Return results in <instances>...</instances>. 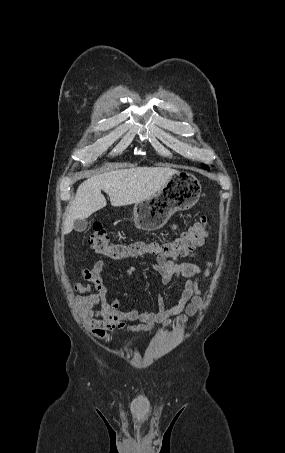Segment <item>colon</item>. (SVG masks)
<instances>
[{"mask_svg": "<svg viewBox=\"0 0 285 453\" xmlns=\"http://www.w3.org/2000/svg\"><path fill=\"white\" fill-rule=\"evenodd\" d=\"M208 227L209 219L203 215L190 228L167 241L136 240L128 243H117L111 242L102 225L94 224L88 242L95 254L104 255L115 261L142 256L168 260L185 257L201 247L207 238Z\"/></svg>", "mask_w": 285, "mask_h": 453, "instance_id": "obj_1", "label": "colon"}]
</instances>
